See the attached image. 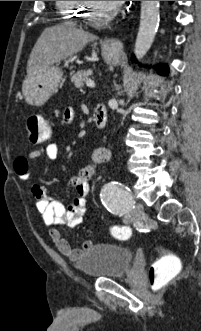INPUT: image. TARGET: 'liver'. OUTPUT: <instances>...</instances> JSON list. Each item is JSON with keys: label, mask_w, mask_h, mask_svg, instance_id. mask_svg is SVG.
<instances>
[{"label": "liver", "mask_w": 201, "mask_h": 331, "mask_svg": "<svg viewBox=\"0 0 201 331\" xmlns=\"http://www.w3.org/2000/svg\"><path fill=\"white\" fill-rule=\"evenodd\" d=\"M93 34L68 24L44 29L35 43L27 63V76L35 74L50 65L58 64L96 40Z\"/></svg>", "instance_id": "1"}]
</instances>
